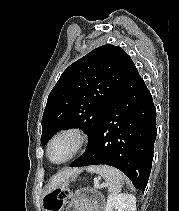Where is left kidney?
Segmentation results:
<instances>
[{
    "label": "left kidney",
    "instance_id": "5707ae66",
    "mask_svg": "<svg viewBox=\"0 0 179 211\" xmlns=\"http://www.w3.org/2000/svg\"><path fill=\"white\" fill-rule=\"evenodd\" d=\"M104 211H136V198L132 194H110Z\"/></svg>",
    "mask_w": 179,
    "mask_h": 211
}]
</instances>
